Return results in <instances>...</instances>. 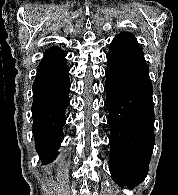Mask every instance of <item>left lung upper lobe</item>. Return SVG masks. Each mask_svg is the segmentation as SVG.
<instances>
[{
	"label": "left lung upper lobe",
	"instance_id": "obj_1",
	"mask_svg": "<svg viewBox=\"0 0 178 195\" xmlns=\"http://www.w3.org/2000/svg\"><path fill=\"white\" fill-rule=\"evenodd\" d=\"M109 52L144 61L143 50L131 33L121 32L110 44Z\"/></svg>",
	"mask_w": 178,
	"mask_h": 195
}]
</instances>
